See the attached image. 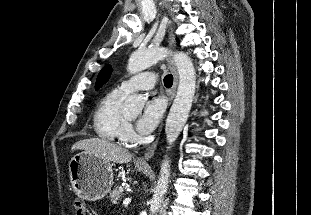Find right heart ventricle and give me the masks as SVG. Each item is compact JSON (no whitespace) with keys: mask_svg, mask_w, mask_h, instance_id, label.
Segmentation results:
<instances>
[{"mask_svg":"<svg viewBox=\"0 0 311 215\" xmlns=\"http://www.w3.org/2000/svg\"><path fill=\"white\" fill-rule=\"evenodd\" d=\"M125 96L126 93L116 88L107 93L97 105L93 116V126L100 138L115 143L125 140L127 120L120 110Z\"/></svg>","mask_w":311,"mask_h":215,"instance_id":"e07e8e85","label":"right heart ventricle"}]
</instances>
